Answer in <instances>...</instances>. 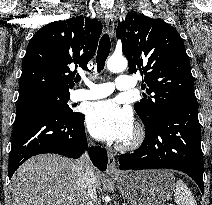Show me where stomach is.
<instances>
[{
	"label": "stomach",
	"mask_w": 212,
	"mask_h": 205,
	"mask_svg": "<svg viewBox=\"0 0 212 205\" xmlns=\"http://www.w3.org/2000/svg\"><path fill=\"white\" fill-rule=\"evenodd\" d=\"M132 205H164L172 196L175 178L168 170H140L113 177Z\"/></svg>",
	"instance_id": "obj_1"
}]
</instances>
